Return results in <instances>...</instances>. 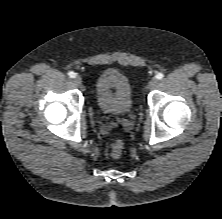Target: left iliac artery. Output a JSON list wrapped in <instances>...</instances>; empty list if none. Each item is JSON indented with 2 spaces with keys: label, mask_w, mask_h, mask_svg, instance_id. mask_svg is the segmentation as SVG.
Listing matches in <instances>:
<instances>
[{
  "label": "left iliac artery",
  "mask_w": 222,
  "mask_h": 219,
  "mask_svg": "<svg viewBox=\"0 0 222 219\" xmlns=\"http://www.w3.org/2000/svg\"><path fill=\"white\" fill-rule=\"evenodd\" d=\"M155 77H156V79L161 80L164 77V75L162 73H158V74H156Z\"/></svg>",
  "instance_id": "44dca946"
}]
</instances>
